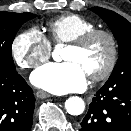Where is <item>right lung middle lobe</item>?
I'll return each instance as SVG.
<instances>
[{
    "mask_svg": "<svg viewBox=\"0 0 131 131\" xmlns=\"http://www.w3.org/2000/svg\"><path fill=\"white\" fill-rule=\"evenodd\" d=\"M36 17L32 13L0 12V67L15 69L11 46L19 28Z\"/></svg>",
    "mask_w": 131,
    "mask_h": 131,
    "instance_id": "1",
    "label": "right lung middle lobe"
}]
</instances>
